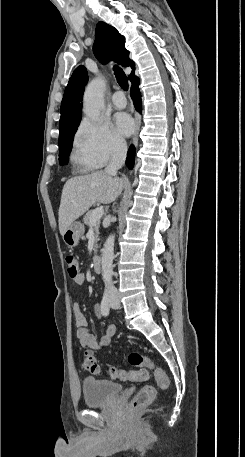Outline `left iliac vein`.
<instances>
[{"mask_svg": "<svg viewBox=\"0 0 245 457\" xmlns=\"http://www.w3.org/2000/svg\"><path fill=\"white\" fill-rule=\"evenodd\" d=\"M120 307V302L117 296H114V300L112 302V308L118 309Z\"/></svg>", "mask_w": 245, "mask_h": 457, "instance_id": "obj_1", "label": "left iliac vein"}]
</instances>
